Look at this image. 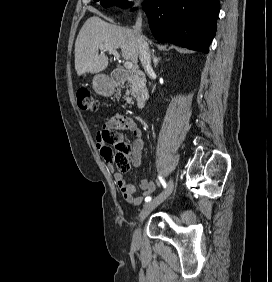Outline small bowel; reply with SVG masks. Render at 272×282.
I'll use <instances>...</instances> for the list:
<instances>
[{"label":"small bowel","instance_id":"1","mask_svg":"<svg viewBox=\"0 0 272 282\" xmlns=\"http://www.w3.org/2000/svg\"><path fill=\"white\" fill-rule=\"evenodd\" d=\"M104 128H108V129L122 128L133 133V135L135 136V140L132 144L129 155L131 158L132 165L134 167H140L142 152L146 146V139L143 133L141 132V130L137 127L134 120L116 114L114 117H112L111 119L105 122ZM99 133L100 132H98L96 135V141L98 143L97 146L99 145V143H101ZM107 167L109 171L112 173L114 181L121 195L129 204L140 205L144 201V198L147 195L153 193L156 189V184L152 180L148 178H144L139 183L141 194L134 196L133 195L135 191L134 185L128 183L124 178L123 174L120 173L118 170H116L113 165L108 163Z\"/></svg>","mask_w":272,"mask_h":282}]
</instances>
